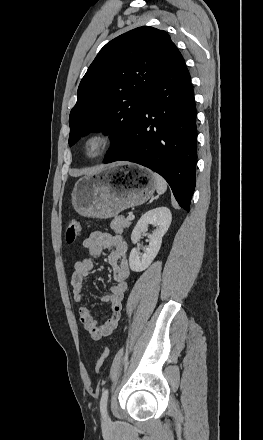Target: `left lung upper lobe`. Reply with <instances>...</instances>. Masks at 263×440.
<instances>
[{
	"label": "left lung upper lobe",
	"instance_id": "left-lung-upper-lobe-1",
	"mask_svg": "<svg viewBox=\"0 0 263 440\" xmlns=\"http://www.w3.org/2000/svg\"><path fill=\"white\" fill-rule=\"evenodd\" d=\"M175 47L165 31L149 26L107 43L80 82L69 117V144L102 131L113 140L107 157L129 148L137 115Z\"/></svg>",
	"mask_w": 263,
	"mask_h": 440
}]
</instances>
